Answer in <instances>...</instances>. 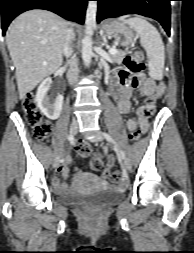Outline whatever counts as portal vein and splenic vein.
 Listing matches in <instances>:
<instances>
[{"instance_id": "1", "label": "portal vein and splenic vein", "mask_w": 194, "mask_h": 253, "mask_svg": "<svg viewBox=\"0 0 194 253\" xmlns=\"http://www.w3.org/2000/svg\"><path fill=\"white\" fill-rule=\"evenodd\" d=\"M117 52H118V51H117L115 48H110V49H109V53H110V54H117Z\"/></svg>"}]
</instances>
